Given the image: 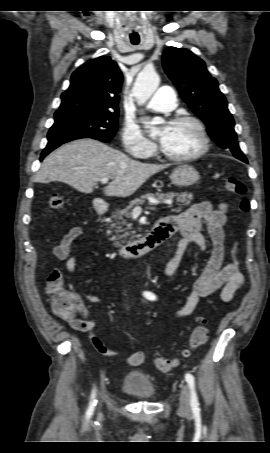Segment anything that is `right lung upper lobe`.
Instances as JSON below:
<instances>
[{
	"label": "right lung upper lobe",
	"instance_id": "cb5924a9",
	"mask_svg": "<svg viewBox=\"0 0 270 453\" xmlns=\"http://www.w3.org/2000/svg\"><path fill=\"white\" fill-rule=\"evenodd\" d=\"M122 81V73L110 57L87 61L72 74L55 117L88 111L118 113Z\"/></svg>",
	"mask_w": 270,
	"mask_h": 453
}]
</instances>
